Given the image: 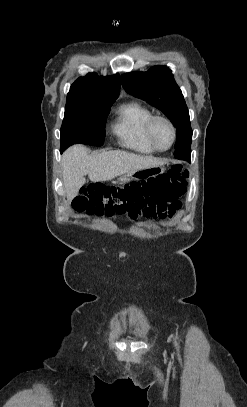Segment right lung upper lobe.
Wrapping results in <instances>:
<instances>
[{
  "mask_svg": "<svg viewBox=\"0 0 247 407\" xmlns=\"http://www.w3.org/2000/svg\"><path fill=\"white\" fill-rule=\"evenodd\" d=\"M120 77L98 76L95 73L78 78L67 94L66 104L115 101L119 95Z\"/></svg>",
  "mask_w": 247,
  "mask_h": 407,
  "instance_id": "right-lung-upper-lobe-1",
  "label": "right lung upper lobe"
}]
</instances>
